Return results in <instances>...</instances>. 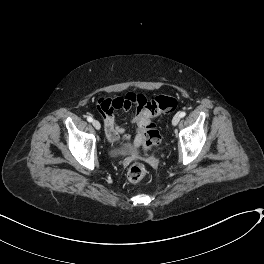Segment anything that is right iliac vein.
I'll use <instances>...</instances> for the list:
<instances>
[{"instance_id": "right-iliac-vein-1", "label": "right iliac vein", "mask_w": 264, "mask_h": 264, "mask_svg": "<svg viewBox=\"0 0 264 264\" xmlns=\"http://www.w3.org/2000/svg\"><path fill=\"white\" fill-rule=\"evenodd\" d=\"M92 124L97 130H99L101 128V125H100L99 121H97V120H94L92 122Z\"/></svg>"}]
</instances>
